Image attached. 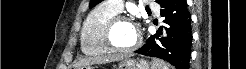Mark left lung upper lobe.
Wrapping results in <instances>:
<instances>
[{
	"mask_svg": "<svg viewBox=\"0 0 246 69\" xmlns=\"http://www.w3.org/2000/svg\"><path fill=\"white\" fill-rule=\"evenodd\" d=\"M102 0H90V8L94 7L95 5H97L98 3H100ZM167 0H156L157 3H159L160 5L164 2H166Z\"/></svg>",
	"mask_w": 246,
	"mask_h": 69,
	"instance_id": "5c2ea615",
	"label": "left lung upper lobe"
}]
</instances>
